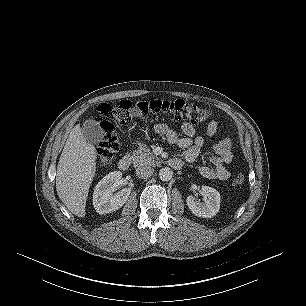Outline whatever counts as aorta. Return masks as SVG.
Returning a JSON list of instances; mask_svg holds the SVG:
<instances>
[{
  "label": "aorta",
  "mask_w": 306,
  "mask_h": 306,
  "mask_svg": "<svg viewBox=\"0 0 306 306\" xmlns=\"http://www.w3.org/2000/svg\"><path fill=\"white\" fill-rule=\"evenodd\" d=\"M172 176H173V171L168 167H164L159 171V178L162 181H169L171 180Z\"/></svg>",
  "instance_id": "obj_1"
}]
</instances>
